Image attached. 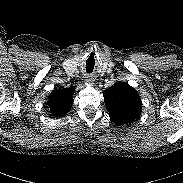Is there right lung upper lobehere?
Segmentation results:
<instances>
[{"instance_id":"right-lung-upper-lobe-1","label":"right lung upper lobe","mask_w":183,"mask_h":183,"mask_svg":"<svg viewBox=\"0 0 183 183\" xmlns=\"http://www.w3.org/2000/svg\"><path fill=\"white\" fill-rule=\"evenodd\" d=\"M74 86L70 88H55L48 97L47 105L54 117L65 116L73 104Z\"/></svg>"}]
</instances>
